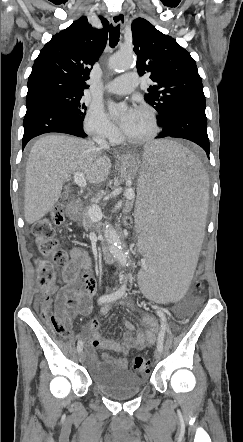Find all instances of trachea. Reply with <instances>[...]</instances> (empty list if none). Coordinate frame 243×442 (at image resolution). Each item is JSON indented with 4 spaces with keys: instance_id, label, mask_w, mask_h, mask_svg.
Instances as JSON below:
<instances>
[{
    "instance_id": "1",
    "label": "trachea",
    "mask_w": 243,
    "mask_h": 442,
    "mask_svg": "<svg viewBox=\"0 0 243 442\" xmlns=\"http://www.w3.org/2000/svg\"><path fill=\"white\" fill-rule=\"evenodd\" d=\"M119 37H120V26L117 25L116 27H113V25H111L109 33L110 47H115L117 45V43L119 42Z\"/></svg>"
}]
</instances>
